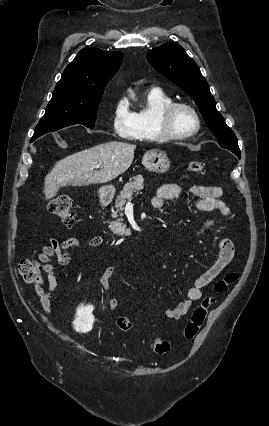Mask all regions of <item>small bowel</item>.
<instances>
[{
	"label": "small bowel",
	"mask_w": 269,
	"mask_h": 426,
	"mask_svg": "<svg viewBox=\"0 0 269 426\" xmlns=\"http://www.w3.org/2000/svg\"><path fill=\"white\" fill-rule=\"evenodd\" d=\"M191 194L195 197L194 207L201 212L219 211L223 216L230 217L231 212L222 200L223 190L220 187L195 185L190 188ZM182 193L180 186L176 184H164L160 186L156 195L152 199V206L155 209H162L165 202L170 199L178 198ZM219 220L210 219L197 230L196 236H201L217 226ZM104 238L101 235L91 237L87 241L89 247L95 248L103 244ZM82 243L79 239L71 237L64 241H59L55 238H50L38 255V260L41 262V267L46 275L47 289L42 285H34V290L40 299L42 308L46 312L52 311L51 296L58 285L56 277V268L54 261L60 266H65L70 263V250L81 247ZM234 244L228 238H222L219 241V254L214 263L202 275L197 277L193 286L187 292V298L181 301L175 308L165 311L164 316L167 319L178 320L185 316L192 306V303L198 301L203 296L204 289L210 285L220 273L229 265L234 257ZM117 271L116 265L106 267L99 280L98 284L104 293H108L110 289V280ZM119 301L117 298L108 300V306L111 309L117 308Z\"/></svg>",
	"instance_id": "obj_1"
}]
</instances>
